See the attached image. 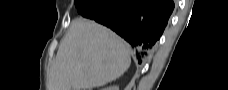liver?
<instances>
[{
	"mask_svg": "<svg viewBox=\"0 0 228 90\" xmlns=\"http://www.w3.org/2000/svg\"><path fill=\"white\" fill-rule=\"evenodd\" d=\"M131 63L129 49L114 32L77 18L62 39L50 72L48 90H90L119 78Z\"/></svg>",
	"mask_w": 228,
	"mask_h": 90,
	"instance_id": "liver-1",
	"label": "liver"
}]
</instances>
